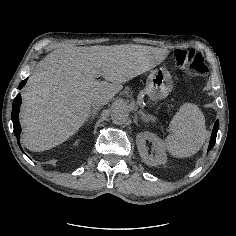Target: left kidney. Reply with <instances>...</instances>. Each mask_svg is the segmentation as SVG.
Wrapping results in <instances>:
<instances>
[{
    "label": "left kidney",
    "mask_w": 236,
    "mask_h": 236,
    "mask_svg": "<svg viewBox=\"0 0 236 236\" xmlns=\"http://www.w3.org/2000/svg\"><path fill=\"white\" fill-rule=\"evenodd\" d=\"M146 140H150L156 151L155 156L148 154ZM136 144L139 154L147 165L157 166L167 162L165 143L156 135L150 132H142L136 136Z\"/></svg>",
    "instance_id": "obj_1"
}]
</instances>
